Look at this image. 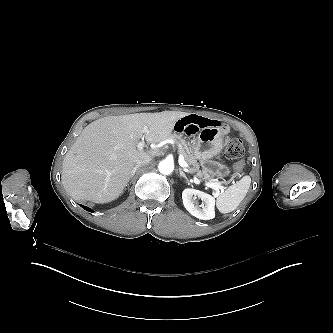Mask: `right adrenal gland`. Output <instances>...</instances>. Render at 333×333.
<instances>
[{"label": "right adrenal gland", "instance_id": "1", "mask_svg": "<svg viewBox=\"0 0 333 333\" xmlns=\"http://www.w3.org/2000/svg\"><path fill=\"white\" fill-rule=\"evenodd\" d=\"M140 167H141V166H136V167H134V169H133V171H132V175H131V177H130V179H129V182L132 180L133 176L135 175L136 170H137L138 168H140Z\"/></svg>", "mask_w": 333, "mask_h": 333}]
</instances>
